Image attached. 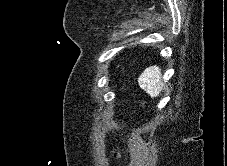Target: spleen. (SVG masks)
<instances>
[{
  "label": "spleen",
  "instance_id": "spleen-1",
  "mask_svg": "<svg viewBox=\"0 0 227 166\" xmlns=\"http://www.w3.org/2000/svg\"><path fill=\"white\" fill-rule=\"evenodd\" d=\"M139 86L151 96L157 97L163 88L161 69L154 65L145 69L138 79Z\"/></svg>",
  "mask_w": 227,
  "mask_h": 166
}]
</instances>
